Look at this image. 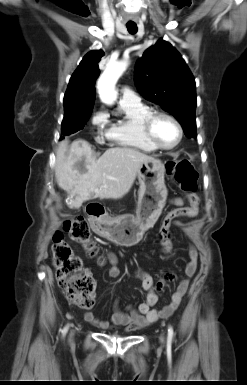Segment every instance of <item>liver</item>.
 I'll use <instances>...</instances> for the list:
<instances>
[{"label":"liver","mask_w":247,"mask_h":385,"mask_svg":"<svg viewBox=\"0 0 247 385\" xmlns=\"http://www.w3.org/2000/svg\"><path fill=\"white\" fill-rule=\"evenodd\" d=\"M152 157L133 148H110L98 159L85 140L60 142L56 152L55 177L68 193L66 203L79 208L94 198L119 199L131 189L144 161ZM114 179H111V178Z\"/></svg>","instance_id":"6515ba94"}]
</instances>
